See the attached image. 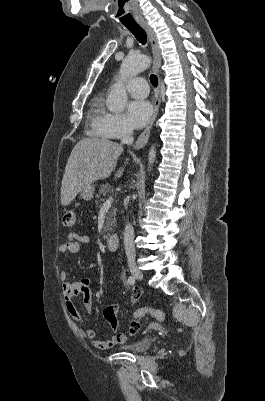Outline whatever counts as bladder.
I'll list each match as a JSON object with an SVG mask.
<instances>
[{
    "label": "bladder",
    "instance_id": "bladder-1",
    "mask_svg": "<svg viewBox=\"0 0 265 401\" xmlns=\"http://www.w3.org/2000/svg\"><path fill=\"white\" fill-rule=\"evenodd\" d=\"M150 345H151V339L141 338L132 344L123 346L122 350L130 352L147 351V348Z\"/></svg>",
    "mask_w": 265,
    "mask_h": 401
}]
</instances>
